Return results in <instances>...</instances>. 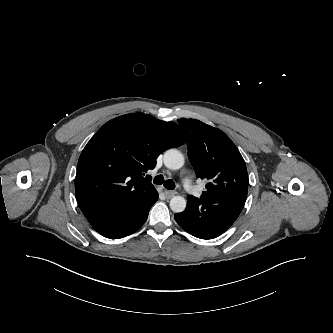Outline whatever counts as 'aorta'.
<instances>
[{
    "label": "aorta",
    "mask_w": 333,
    "mask_h": 333,
    "mask_svg": "<svg viewBox=\"0 0 333 333\" xmlns=\"http://www.w3.org/2000/svg\"><path fill=\"white\" fill-rule=\"evenodd\" d=\"M164 165L172 170L180 169L184 165L183 154L176 149L167 150L164 154ZM186 204L185 198L179 195L170 200V208L175 213L183 212Z\"/></svg>",
    "instance_id": "obj_1"
}]
</instances>
